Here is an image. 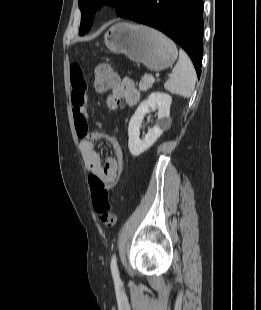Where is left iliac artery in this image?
<instances>
[{
	"instance_id": "1",
	"label": "left iliac artery",
	"mask_w": 261,
	"mask_h": 310,
	"mask_svg": "<svg viewBox=\"0 0 261 310\" xmlns=\"http://www.w3.org/2000/svg\"><path fill=\"white\" fill-rule=\"evenodd\" d=\"M111 272L115 283H120L119 271L117 267V259L115 254H113L111 258Z\"/></svg>"
}]
</instances>
